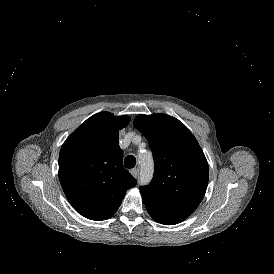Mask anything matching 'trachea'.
<instances>
[{
	"mask_svg": "<svg viewBox=\"0 0 274 274\" xmlns=\"http://www.w3.org/2000/svg\"><path fill=\"white\" fill-rule=\"evenodd\" d=\"M124 165L126 168L131 169L136 165V158L132 155H128L124 160Z\"/></svg>",
	"mask_w": 274,
	"mask_h": 274,
	"instance_id": "3493384b",
	"label": "trachea"
}]
</instances>
